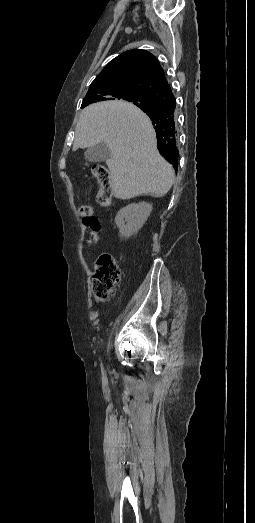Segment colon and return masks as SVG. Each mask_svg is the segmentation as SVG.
<instances>
[{
    "mask_svg": "<svg viewBox=\"0 0 255 523\" xmlns=\"http://www.w3.org/2000/svg\"><path fill=\"white\" fill-rule=\"evenodd\" d=\"M92 173L99 184L97 202L103 207H109L113 198L109 171L104 166L96 165L93 167ZM79 213L86 224L91 223L94 219L93 208L90 204L81 205ZM94 269L93 292L97 300L104 301L113 293L120 278V271L114 257L109 253H102L98 256Z\"/></svg>",
    "mask_w": 255,
    "mask_h": 523,
    "instance_id": "1",
    "label": "colon"
}]
</instances>
